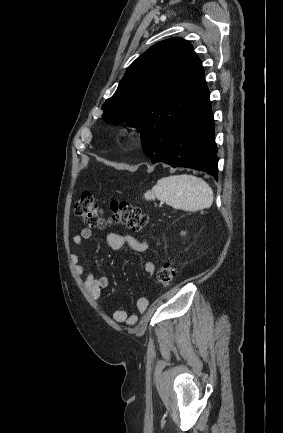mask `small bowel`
<instances>
[{
  "mask_svg": "<svg viewBox=\"0 0 283 433\" xmlns=\"http://www.w3.org/2000/svg\"><path fill=\"white\" fill-rule=\"evenodd\" d=\"M92 230L90 228H83L80 233L74 235L73 242L75 245L80 246L84 241L91 239ZM108 246L113 250H120L123 248H131L138 252L147 250L148 244L145 240H140L129 233H115L110 232L106 236ZM72 262L75 271L79 275L85 277V286L90 292L91 296L95 299L101 297L102 291L108 286L109 280L105 276L96 277L91 271H89L84 265L80 264V256L73 254ZM146 273L153 274L155 272V265L152 262H147L144 267ZM148 299L145 297L139 298L136 303V307L139 313L146 311L148 307ZM113 319L117 322H124L127 326L133 327L138 317L135 314L128 315L124 310H116L113 313Z\"/></svg>",
  "mask_w": 283,
  "mask_h": 433,
  "instance_id": "obj_1",
  "label": "small bowel"
}]
</instances>
